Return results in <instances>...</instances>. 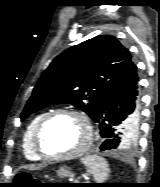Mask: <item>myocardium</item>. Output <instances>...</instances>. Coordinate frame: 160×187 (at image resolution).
<instances>
[{
	"mask_svg": "<svg viewBox=\"0 0 160 187\" xmlns=\"http://www.w3.org/2000/svg\"><path fill=\"white\" fill-rule=\"evenodd\" d=\"M59 116H74L79 118L86 129V139L84 144L77 150L70 153H51L43 147V136L46 127L51 121ZM93 142V127L89 118L81 111L74 109H60L47 113L38 123L34 132V148L36 152L45 160L58 161L77 158L85 154Z\"/></svg>",
	"mask_w": 160,
	"mask_h": 187,
	"instance_id": "myocardium-1",
	"label": "myocardium"
}]
</instances>
